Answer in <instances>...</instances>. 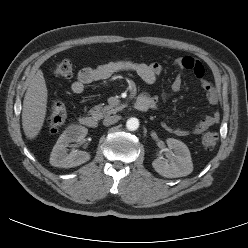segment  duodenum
<instances>
[{
    "label": "duodenum",
    "instance_id": "410a0bca",
    "mask_svg": "<svg viewBox=\"0 0 248 248\" xmlns=\"http://www.w3.org/2000/svg\"><path fill=\"white\" fill-rule=\"evenodd\" d=\"M134 107L138 111H147L150 109L151 105L147 95L140 96L134 103ZM81 124L87 128H96L98 124V119L96 116L87 115L81 118Z\"/></svg>",
    "mask_w": 248,
    "mask_h": 248
}]
</instances>
